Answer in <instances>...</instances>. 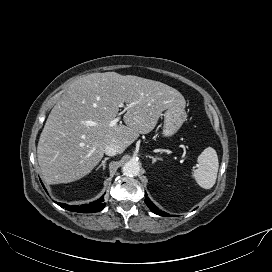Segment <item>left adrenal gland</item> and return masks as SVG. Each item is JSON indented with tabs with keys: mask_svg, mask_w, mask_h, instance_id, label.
Returning <instances> with one entry per match:
<instances>
[{
	"mask_svg": "<svg viewBox=\"0 0 272 272\" xmlns=\"http://www.w3.org/2000/svg\"><path fill=\"white\" fill-rule=\"evenodd\" d=\"M146 157H149L150 159H152V163L154 164L157 160H160L159 157H153V156H150V155H147Z\"/></svg>",
	"mask_w": 272,
	"mask_h": 272,
	"instance_id": "obj_1",
	"label": "left adrenal gland"
}]
</instances>
